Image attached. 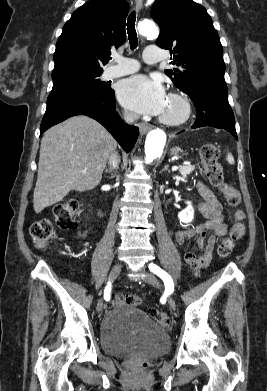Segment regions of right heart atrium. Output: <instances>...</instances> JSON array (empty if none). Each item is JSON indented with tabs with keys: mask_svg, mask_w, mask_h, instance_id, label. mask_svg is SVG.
Segmentation results:
<instances>
[{
	"mask_svg": "<svg viewBox=\"0 0 267 391\" xmlns=\"http://www.w3.org/2000/svg\"><path fill=\"white\" fill-rule=\"evenodd\" d=\"M131 117H132V116H131L130 114H127V115H126V118H127V119H131Z\"/></svg>",
	"mask_w": 267,
	"mask_h": 391,
	"instance_id": "obj_1",
	"label": "right heart atrium"
}]
</instances>
